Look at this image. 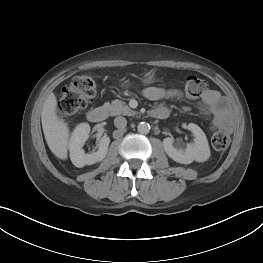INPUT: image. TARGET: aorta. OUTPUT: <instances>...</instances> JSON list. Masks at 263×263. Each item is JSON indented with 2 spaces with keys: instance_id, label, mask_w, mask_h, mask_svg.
Listing matches in <instances>:
<instances>
[{
  "instance_id": "obj_1",
  "label": "aorta",
  "mask_w": 263,
  "mask_h": 263,
  "mask_svg": "<svg viewBox=\"0 0 263 263\" xmlns=\"http://www.w3.org/2000/svg\"><path fill=\"white\" fill-rule=\"evenodd\" d=\"M150 131V125L147 122H141L138 125V132L141 134H148Z\"/></svg>"
}]
</instances>
